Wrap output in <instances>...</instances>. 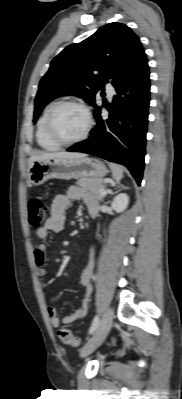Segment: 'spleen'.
<instances>
[{
  "mask_svg": "<svg viewBox=\"0 0 182 399\" xmlns=\"http://www.w3.org/2000/svg\"><path fill=\"white\" fill-rule=\"evenodd\" d=\"M111 170H112V174H113V178L115 180H120L123 177V169L120 165L114 164V163H110L109 164Z\"/></svg>",
  "mask_w": 182,
  "mask_h": 399,
  "instance_id": "3e777b00",
  "label": "spleen"
}]
</instances>
